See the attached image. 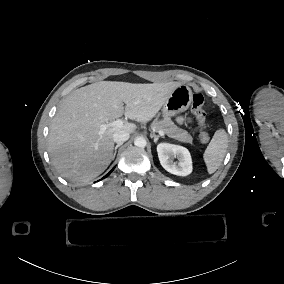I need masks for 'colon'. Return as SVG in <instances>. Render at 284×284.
Returning <instances> with one entry per match:
<instances>
[{"label":"colon","mask_w":284,"mask_h":284,"mask_svg":"<svg viewBox=\"0 0 284 284\" xmlns=\"http://www.w3.org/2000/svg\"><path fill=\"white\" fill-rule=\"evenodd\" d=\"M191 104L196 121L201 128V131L199 133L200 140L203 143H206L209 141V134L205 131L207 122H206V112L203 108L204 106L203 96L199 93H194L192 95Z\"/></svg>","instance_id":"obj_1"}]
</instances>
